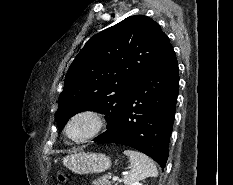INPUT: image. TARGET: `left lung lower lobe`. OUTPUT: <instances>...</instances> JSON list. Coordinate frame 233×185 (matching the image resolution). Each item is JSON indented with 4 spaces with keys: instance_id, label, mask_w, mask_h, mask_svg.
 <instances>
[{
    "instance_id": "left-lung-lower-lobe-1",
    "label": "left lung lower lobe",
    "mask_w": 233,
    "mask_h": 185,
    "mask_svg": "<svg viewBox=\"0 0 233 185\" xmlns=\"http://www.w3.org/2000/svg\"><path fill=\"white\" fill-rule=\"evenodd\" d=\"M178 88V62L169 43L136 83L117 122L94 141L133 147L164 168Z\"/></svg>"
}]
</instances>
